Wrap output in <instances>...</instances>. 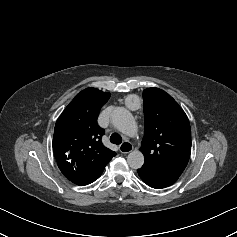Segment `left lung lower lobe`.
Returning <instances> with one entry per match:
<instances>
[{
  "mask_svg": "<svg viewBox=\"0 0 237 237\" xmlns=\"http://www.w3.org/2000/svg\"><path fill=\"white\" fill-rule=\"evenodd\" d=\"M140 178L152 188H165L177 181L178 177L165 174L154 168L143 165L137 170Z\"/></svg>",
  "mask_w": 237,
  "mask_h": 237,
  "instance_id": "obj_1",
  "label": "left lung lower lobe"
}]
</instances>
